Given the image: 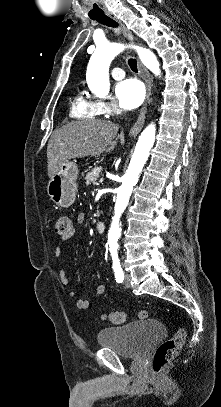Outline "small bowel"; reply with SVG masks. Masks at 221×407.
<instances>
[{
    "label": "small bowel",
    "instance_id": "small-bowel-1",
    "mask_svg": "<svg viewBox=\"0 0 221 407\" xmlns=\"http://www.w3.org/2000/svg\"><path fill=\"white\" fill-rule=\"evenodd\" d=\"M85 223H86L85 215L84 214L78 215L77 224L80 225V226H84ZM73 234H74V231H70V233L67 236L61 237L60 240L61 241H66V240L70 239L73 236ZM54 254H55V256H60V254H61V247L60 246H57L55 248ZM59 277H60L62 285L64 287H69L70 282H69L64 270H61L59 272ZM105 291H106V286L104 284H98L97 287H96V291H95L96 297H100L101 295L104 294ZM68 295H69L70 298L76 299V307H77L78 310H87L89 308L88 300L83 299V298H77V293L75 291L70 290L68 292Z\"/></svg>",
    "mask_w": 221,
    "mask_h": 407
}]
</instances>
